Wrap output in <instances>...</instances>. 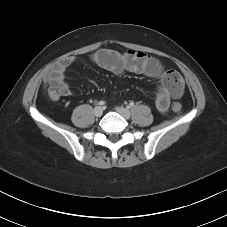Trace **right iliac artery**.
<instances>
[{"instance_id":"obj_1","label":"right iliac artery","mask_w":227,"mask_h":227,"mask_svg":"<svg viewBox=\"0 0 227 227\" xmlns=\"http://www.w3.org/2000/svg\"><path fill=\"white\" fill-rule=\"evenodd\" d=\"M99 105H105V101H100L99 103H98Z\"/></svg>"}]
</instances>
